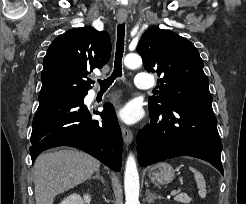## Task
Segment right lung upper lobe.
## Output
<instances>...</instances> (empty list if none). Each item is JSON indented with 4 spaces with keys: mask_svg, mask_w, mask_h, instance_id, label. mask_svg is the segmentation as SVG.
Masks as SVG:
<instances>
[{
    "mask_svg": "<svg viewBox=\"0 0 246 204\" xmlns=\"http://www.w3.org/2000/svg\"><path fill=\"white\" fill-rule=\"evenodd\" d=\"M111 41L106 32L91 26L74 28L58 36L43 60L39 98L66 92L87 93L94 83L87 75L110 59Z\"/></svg>",
    "mask_w": 246,
    "mask_h": 204,
    "instance_id": "1",
    "label": "right lung upper lobe"
}]
</instances>
